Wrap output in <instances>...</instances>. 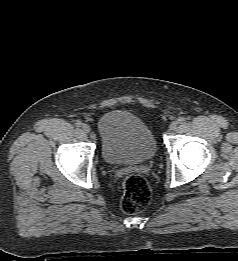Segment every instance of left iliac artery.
I'll return each instance as SVG.
<instances>
[{
  "mask_svg": "<svg viewBox=\"0 0 238 261\" xmlns=\"http://www.w3.org/2000/svg\"><path fill=\"white\" fill-rule=\"evenodd\" d=\"M178 122H179L180 124H183V123L186 122V118H185V117H179V118H178Z\"/></svg>",
  "mask_w": 238,
  "mask_h": 261,
  "instance_id": "left-iliac-artery-1",
  "label": "left iliac artery"
}]
</instances>
